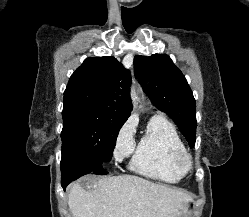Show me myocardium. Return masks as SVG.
Returning <instances> with one entry per match:
<instances>
[{
  "label": "myocardium",
  "instance_id": "myocardium-1",
  "mask_svg": "<svg viewBox=\"0 0 249 217\" xmlns=\"http://www.w3.org/2000/svg\"><path fill=\"white\" fill-rule=\"evenodd\" d=\"M175 164L178 170L182 174H186L189 171H191L193 167V160L190 154H188L186 151L178 154L175 158Z\"/></svg>",
  "mask_w": 249,
  "mask_h": 217
}]
</instances>
